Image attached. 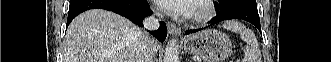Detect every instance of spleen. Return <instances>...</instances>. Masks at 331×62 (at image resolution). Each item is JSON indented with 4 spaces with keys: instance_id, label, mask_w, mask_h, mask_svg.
Instances as JSON below:
<instances>
[{
    "instance_id": "obj_1",
    "label": "spleen",
    "mask_w": 331,
    "mask_h": 62,
    "mask_svg": "<svg viewBox=\"0 0 331 62\" xmlns=\"http://www.w3.org/2000/svg\"><path fill=\"white\" fill-rule=\"evenodd\" d=\"M223 27L227 30L240 34L243 41L247 43L244 52L243 62H260L261 52L254 33L245 27L244 24L238 21H226Z\"/></svg>"
}]
</instances>
